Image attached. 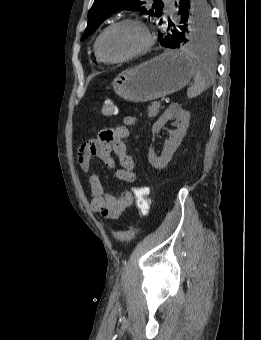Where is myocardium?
<instances>
[{
	"mask_svg": "<svg viewBox=\"0 0 261 340\" xmlns=\"http://www.w3.org/2000/svg\"><path fill=\"white\" fill-rule=\"evenodd\" d=\"M122 24H131V25L138 27L142 31L143 36H144L143 44L138 49H136L132 53H129L125 56L115 58V59H109V58L104 57L100 50V43H101L103 36L110 29L116 26L122 25ZM153 43H154V37L151 31L149 30L148 26L143 21L137 18L126 17V18L119 19L109 24L101 31V33L98 35L95 41V53L102 62L109 63V64L120 63V62H125V61L131 60L135 57L142 55L153 45Z\"/></svg>",
	"mask_w": 261,
	"mask_h": 340,
	"instance_id": "myocardium-1",
	"label": "myocardium"
}]
</instances>
